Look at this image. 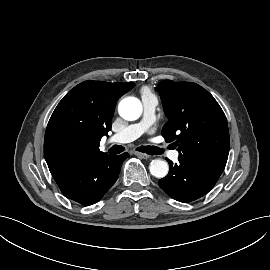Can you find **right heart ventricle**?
<instances>
[{
	"mask_svg": "<svg viewBox=\"0 0 270 270\" xmlns=\"http://www.w3.org/2000/svg\"><path fill=\"white\" fill-rule=\"evenodd\" d=\"M142 95H152L148 88H143L141 91Z\"/></svg>",
	"mask_w": 270,
	"mask_h": 270,
	"instance_id": "1",
	"label": "right heart ventricle"
}]
</instances>
